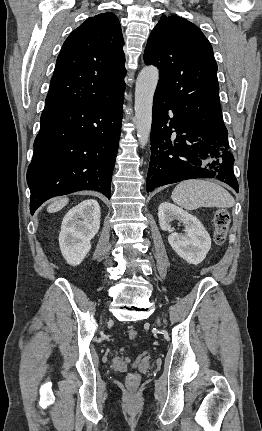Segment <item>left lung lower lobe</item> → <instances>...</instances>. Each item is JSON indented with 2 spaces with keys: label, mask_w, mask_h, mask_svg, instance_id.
<instances>
[{
  "label": "left lung lower lobe",
  "mask_w": 262,
  "mask_h": 431,
  "mask_svg": "<svg viewBox=\"0 0 262 431\" xmlns=\"http://www.w3.org/2000/svg\"><path fill=\"white\" fill-rule=\"evenodd\" d=\"M227 138L226 128L206 132L195 127L155 92L147 192L197 178L219 179L238 192Z\"/></svg>",
  "instance_id": "0a47b994"
}]
</instances>
